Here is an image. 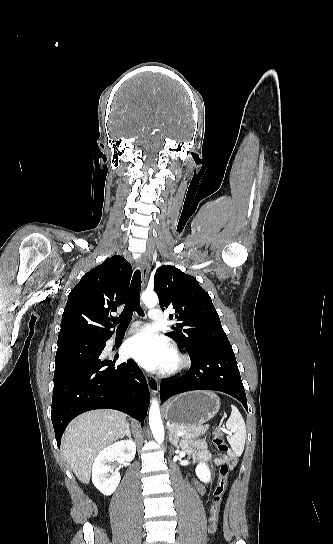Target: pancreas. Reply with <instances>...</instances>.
Returning <instances> with one entry per match:
<instances>
[{"label":"pancreas","mask_w":333,"mask_h":544,"mask_svg":"<svg viewBox=\"0 0 333 544\" xmlns=\"http://www.w3.org/2000/svg\"><path fill=\"white\" fill-rule=\"evenodd\" d=\"M168 429L170 432H174V433H177L179 431L183 432L184 437L186 438H196L200 435L205 434L206 432V428L202 425L183 426L178 424H171L170 426H168Z\"/></svg>","instance_id":"1"}]
</instances>
